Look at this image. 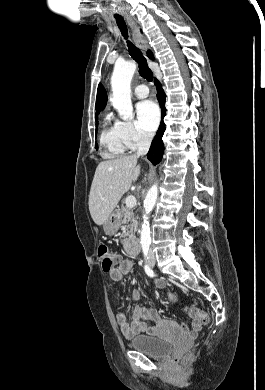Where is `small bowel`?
<instances>
[{"instance_id":"small-bowel-1","label":"small bowel","mask_w":265,"mask_h":390,"mask_svg":"<svg viewBox=\"0 0 265 390\" xmlns=\"http://www.w3.org/2000/svg\"><path fill=\"white\" fill-rule=\"evenodd\" d=\"M117 266L109 272V276L113 281L120 283V289L123 288V280L125 276L133 269L134 263L129 259H123L119 255H115ZM156 286L163 288L165 283L162 280H156ZM141 298V292L139 290H133L132 299L137 301ZM116 323L119 326L122 334L130 338L137 334H150L155 335L159 331L160 325L163 323V319L160 313L155 309H145L137 306L132 314L131 320L128 321L126 315L123 312L116 314ZM202 328V322L196 319L192 320V327L190 330L185 325H181L180 329L186 334L194 338Z\"/></svg>"}]
</instances>
